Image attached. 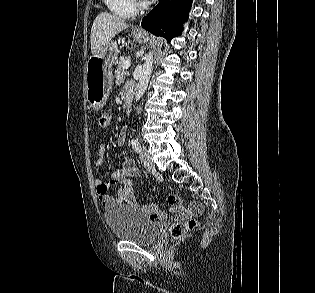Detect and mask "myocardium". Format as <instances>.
Instances as JSON below:
<instances>
[{
	"mask_svg": "<svg viewBox=\"0 0 315 293\" xmlns=\"http://www.w3.org/2000/svg\"><path fill=\"white\" fill-rule=\"evenodd\" d=\"M136 10H142L147 7V3L144 0H131Z\"/></svg>",
	"mask_w": 315,
	"mask_h": 293,
	"instance_id": "f54148a6",
	"label": "myocardium"
}]
</instances>
